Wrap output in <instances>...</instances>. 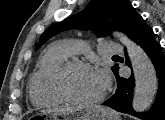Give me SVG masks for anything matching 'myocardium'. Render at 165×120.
Listing matches in <instances>:
<instances>
[{
    "label": "myocardium",
    "mask_w": 165,
    "mask_h": 120,
    "mask_svg": "<svg viewBox=\"0 0 165 120\" xmlns=\"http://www.w3.org/2000/svg\"><path fill=\"white\" fill-rule=\"evenodd\" d=\"M77 68L93 70L92 65L86 61L79 59L66 60L56 69L53 74L51 85L54 93L62 101L76 105H93L100 102L105 96L104 88L98 96L91 99H78L69 94L66 89V77L70 71Z\"/></svg>",
    "instance_id": "1"
}]
</instances>
